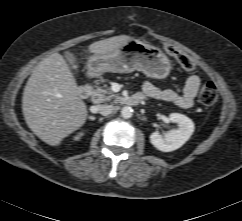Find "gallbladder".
<instances>
[{"label": "gallbladder", "instance_id": "1", "mask_svg": "<svg viewBox=\"0 0 242 221\" xmlns=\"http://www.w3.org/2000/svg\"><path fill=\"white\" fill-rule=\"evenodd\" d=\"M64 56L71 65L72 69L76 70L78 68L77 57L71 51H65Z\"/></svg>", "mask_w": 242, "mask_h": 221}]
</instances>
